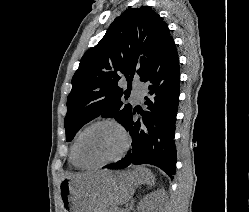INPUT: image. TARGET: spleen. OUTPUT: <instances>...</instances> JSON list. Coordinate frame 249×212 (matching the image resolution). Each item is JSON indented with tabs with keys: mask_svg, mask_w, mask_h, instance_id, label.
<instances>
[{
	"mask_svg": "<svg viewBox=\"0 0 249 212\" xmlns=\"http://www.w3.org/2000/svg\"><path fill=\"white\" fill-rule=\"evenodd\" d=\"M147 174H149V176H147L145 182L146 184H154V178L150 172V170H146Z\"/></svg>",
	"mask_w": 249,
	"mask_h": 212,
	"instance_id": "3e777b00",
	"label": "spleen"
}]
</instances>
